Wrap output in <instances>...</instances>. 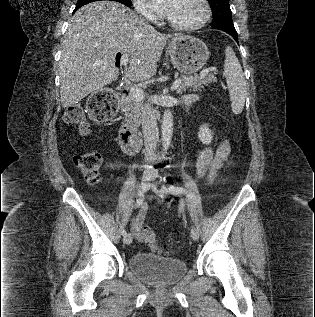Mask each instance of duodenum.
<instances>
[{
	"mask_svg": "<svg viewBox=\"0 0 315 317\" xmlns=\"http://www.w3.org/2000/svg\"><path fill=\"white\" fill-rule=\"evenodd\" d=\"M122 105L133 107V100L128 91L120 85ZM119 144L121 149L127 154H135L141 149V135L130 125H124L119 131Z\"/></svg>",
	"mask_w": 315,
	"mask_h": 317,
	"instance_id": "obj_1",
	"label": "duodenum"
}]
</instances>
